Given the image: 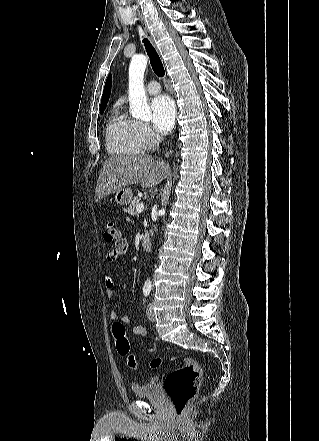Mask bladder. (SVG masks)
Segmentation results:
<instances>
[{
	"mask_svg": "<svg viewBox=\"0 0 319 441\" xmlns=\"http://www.w3.org/2000/svg\"><path fill=\"white\" fill-rule=\"evenodd\" d=\"M132 392L137 398H152L158 394V378L151 377L141 384H132Z\"/></svg>",
	"mask_w": 319,
	"mask_h": 441,
	"instance_id": "31cf9c89",
	"label": "bladder"
}]
</instances>
